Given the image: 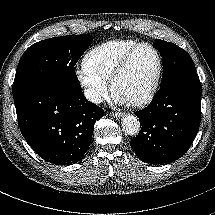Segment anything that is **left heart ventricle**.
I'll list each match as a JSON object with an SVG mask.
<instances>
[{"label": "left heart ventricle", "instance_id": "b2bd125f", "mask_svg": "<svg viewBox=\"0 0 215 215\" xmlns=\"http://www.w3.org/2000/svg\"><path fill=\"white\" fill-rule=\"evenodd\" d=\"M157 70L155 52L148 46L139 48L126 70L117 80L113 95L125 103L139 99L147 90Z\"/></svg>", "mask_w": 215, "mask_h": 215}]
</instances>
